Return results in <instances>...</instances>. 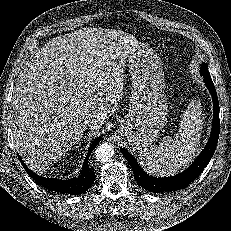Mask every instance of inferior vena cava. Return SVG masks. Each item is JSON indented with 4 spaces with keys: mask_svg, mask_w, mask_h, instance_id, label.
<instances>
[{
    "mask_svg": "<svg viewBox=\"0 0 231 231\" xmlns=\"http://www.w3.org/2000/svg\"><path fill=\"white\" fill-rule=\"evenodd\" d=\"M85 123H86V125L89 126V127L100 125V122H99L98 120H96V119H89V120H87Z\"/></svg>",
    "mask_w": 231,
    "mask_h": 231,
    "instance_id": "1",
    "label": "inferior vena cava"
}]
</instances>
